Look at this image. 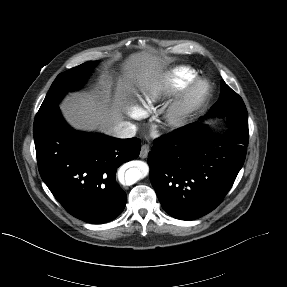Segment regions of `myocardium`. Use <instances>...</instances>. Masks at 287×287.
<instances>
[{"label":"myocardium","mask_w":287,"mask_h":287,"mask_svg":"<svg viewBox=\"0 0 287 287\" xmlns=\"http://www.w3.org/2000/svg\"><path fill=\"white\" fill-rule=\"evenodd\" d=\"M212 87L208 80L195 77L173 98L164 112L167 126L179 128L184 126L209 101Z\"/></svg>","instance_id":"1"}]
</instances>
